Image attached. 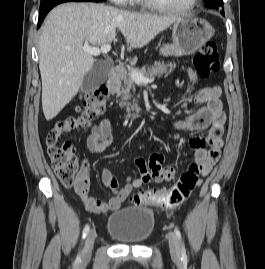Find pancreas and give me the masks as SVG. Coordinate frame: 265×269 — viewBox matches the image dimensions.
<instances>
[{
  "label": "pancreas",
  "mask_w": 265,
  "mask_h": 269,
  "mask_svg": "<svg viewBox=\"0 0 265 269\" xmlns=\"http://www.w3.org/2000/svg\"><path fill=\"white\" fill-rule=\"evenodd\" d=\"M175 67V63L165 64L164 62H156L154 66L148 68H142L139 70L147 78H154L156 76L161 77L162 75H168L172 72ZM113 88L117 93V97H121L120 107L125 108L126 111H131L137 107V102L134 99L131 104L129 101L133 97L130 94V90H135V81L132 79L127 71L121 70L117 78L113 81Z\"/></svg>",
  "instance_id": "pancreas-1"
}]
</instances>
